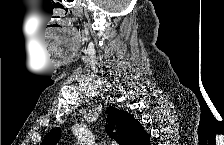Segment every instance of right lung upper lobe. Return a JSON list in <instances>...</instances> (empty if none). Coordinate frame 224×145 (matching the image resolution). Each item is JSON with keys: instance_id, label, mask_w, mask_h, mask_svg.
Returning <instances> with one entry per match:
<instances>
[{"instance_id": "obj_1", "label": "right lung upper lobe", "mask_w": 224, "mask_h": 145, "mask_svg": "<svg viewBox=\"0 0 224 145\" xmlns=\"http://www.w3.org/2000/svg\"><path fill=\"white\" fill-rule=\"evenodd\" d=\"M108 124L106 133L119 145H145L150 138L142 125L127 112L113 107L107 108ZM61 131L59 128L51 130L44 138L42 145H53L59 141Z\"/></svg>"}]
</instances>
